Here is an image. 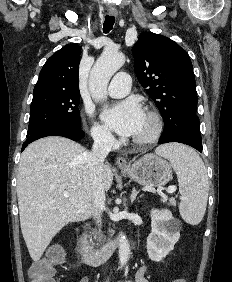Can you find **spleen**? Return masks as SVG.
Here are the masks:
<instances>
[{"mask_svg":"<svg viewBox=\"0 0 232 282\" xmlns=\"http://www.w3.org/2000/svg\"><path fill=\"white\" fill-rule=\"evenodd\" d=\"M167 158L177 174L181 217L191 225L203 219L208 199V177L205 165L193 149L181 144H168L156 149Z\"/></svg>","mask_w":232,"mask_h":282,"instance_id":"obj_1","label":"spleen"}]
</instances>
